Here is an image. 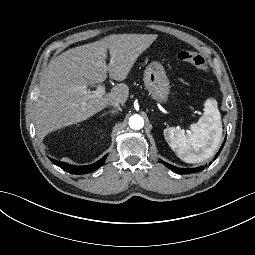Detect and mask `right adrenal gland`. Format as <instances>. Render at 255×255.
<instances>
[{
	"label": "right adrenal gland",
	"mask_w": 255,
	"mask_h": 255,
	"mask_svg": "<svg viewBox=\"0 0 255 255\" xmlns=\"http://www.w3.org/2000/svg\"><path fill=\"white\" fill-rule=\"evenodd\" d=\"M110 112H111L112 114H114L116 111H115V110H111ZM107 113H108V112L102 114L101 117L105 116Z\"/></svg>",
	"instance_id": "2a0ac1e0"
}]
</instances>
